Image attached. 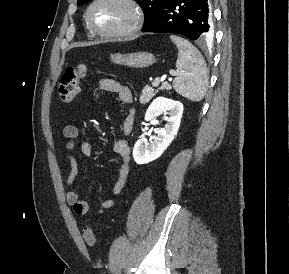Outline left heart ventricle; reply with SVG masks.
Instances as JSON below:
<instances>
[{
	"instance_id": "obj_1",
	"label": "left heart ventricle",
	"mask_w": 289,
	"mask_h": 274,
	"mask_svg": "<svg viewBox=\"0 0 289 274\" xmlns=\"http://www.w3.org/2000/svg\"><path fill=\"white\" fill-rule=\"evenodd\" d=\"M92 24L99 30L114 31L131 21V11L116 0H105L93 7L90 14Z\"/></svg>"
}]
</instances>
